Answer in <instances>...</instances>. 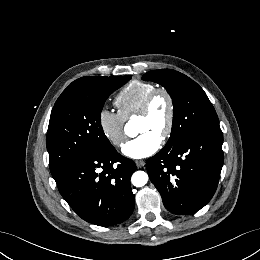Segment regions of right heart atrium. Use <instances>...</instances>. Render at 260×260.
Returning <instances> with one entry per match:
<instances>
[{"instance_id":"d8ad5b80","label":"right heart atrium","mask_w":260,"mask_h":260,"mask_svg":"<svg viewBox=\"0 0 260 260\" xmlns=\"http://www.w3.org/2000/svg\"><path fill=\"white\" fill-rule=\"evenodd\" d=\"M98 124L104 137L115 147H121L126 139L124 127L125 119L107 108L98 113Z\"/></svg>"}]
</instances>
